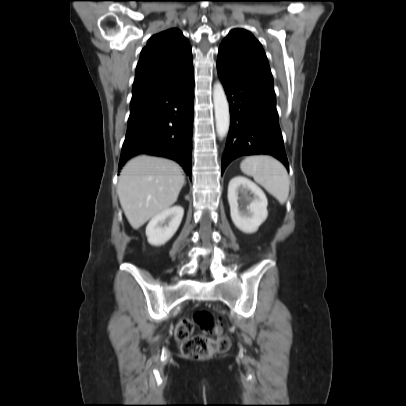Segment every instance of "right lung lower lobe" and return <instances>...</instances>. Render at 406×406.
Masks as SVG:
<instances>
[{
  "instance_id": "98d812e1",
  "label": "right lung lower lobe",
  "mask_w": 406,
  "mask_h": 406,
  "mask_svg": "<svg viewBox=\"0 0 406 406\" xmlns=\"http://www.w3.org/2000/svg\"><path fill=\"white\" fill-rule=\"evenodd\" d=\"M194 73L131 104L119 168L130 158L147 154L172 159L191 177Z\"/></svg>"
}]
</instances>
